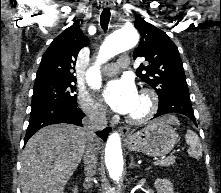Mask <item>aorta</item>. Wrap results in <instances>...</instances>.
I'll return each instance as SVG.
<instances>
[{
    "label": "aorta",
    "mask_w": 221,
    "mask_h": 193,
    "mask_svg": "<svg viewBox=\"0 0 221 193\" xmlns=\"http://www.w3.org/2000/svg\"><path fill=\"white\" fill-rule=\"evenodd\" d=\"M139 41V35L133 28H121L114 31L102 45L99 58L106 61L114 55L134 47ZM89 84L92 87H99L95 77L91 75ZM105 163L110 177L114 181H119L123 171V157L121 149V139L117 132L112 133L106 143Z\"/></svg>",
    "instance_id": "obj_1"
}]
</instances>
